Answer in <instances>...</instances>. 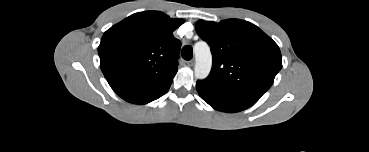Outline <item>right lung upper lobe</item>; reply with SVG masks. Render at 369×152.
<instances>
[{
    "instance_id": "right-lung-upper-lobe-1",
    "label": "right lung upper lobe",
    "mask_w": 369,
    "mask_h": 152,
    "mask_svg": "<svg viewBox=\"0 0 369 152\" xmlns=\"http://www.w3.org/2000/svg\"><path fill=\"white\" fill-rule=\"evenodd\" d=\"M184 20L159 11L135 13L108 29L98 47L101 70L122 99L146 104L164 95L177 73Z\"/></svg>"
}]
</instances>
